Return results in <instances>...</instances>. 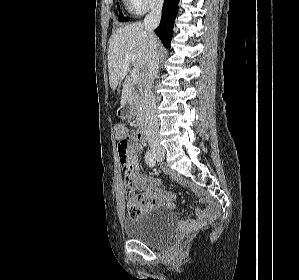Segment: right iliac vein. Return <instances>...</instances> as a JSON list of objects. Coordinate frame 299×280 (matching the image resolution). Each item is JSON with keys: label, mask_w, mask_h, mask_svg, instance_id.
Wrapping results in <instances>:
<instances>
[{"label": "right iliac vein", "mask_w": 299, "mask_h": 280, "mask_svg": "<svg viewBox=\"0 0 299 280\" xmlns=\"http://www.w3.org/2000/svg\"><path fill=\"white\" fill-rule=\"evenodd\" d=\"M155 154L156 155H164V151L162 150H157V151H155Z\"/></svg>", "instance_id": "63e3f726"}]
</instances>
